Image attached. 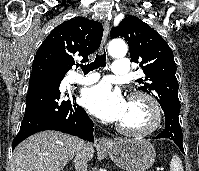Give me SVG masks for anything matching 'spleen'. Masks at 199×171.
<instances>
[{
    "label": "spleen",
    "mask_w": 199,
    "mask_h": 171,
    "mask_svg": "<svg viewBox=\"0 0 199 171\" xmlns=\"http://www.w3.org/2000/svg\"><path fill=\"white\" fill-rule=\"evenodd\" d=\"M170 171H184L180 158L174 155L170 162Z\"/></svg>",
    "instance_id": "spleen-1"
}]
</instances>
